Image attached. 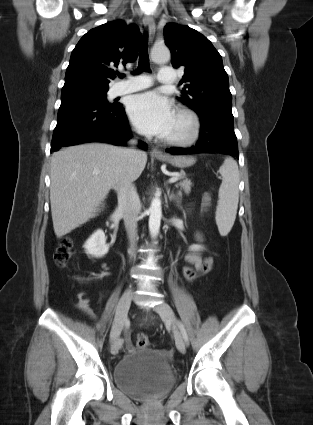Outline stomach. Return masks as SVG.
I'll list each match as a JSON object with an SVG mask.
<instances>
[{"instance_id": "1", "label": "stomach", "mask_w": 313, "mask_h": 425, "mask_svg": "<svg viewBox=\"0 0 313 425\" xmlns=\"http://www.w3.org/2000/svg\"><path fill=\"white\" fill-rule=\"evenodd\" d=\"M160 160L181 169L190 167L191 165L195 163V159L193 157H188V156H171V157L160 159Z\"/></svg>"}]
</instances>
